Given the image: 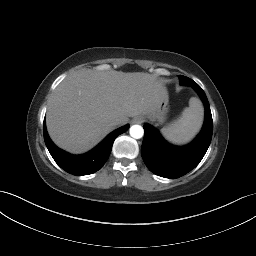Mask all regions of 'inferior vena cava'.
<instances>
[{
    "label": "inferior vena cava",
    "mask_w": 256,
    "mask_h": 256,
    "mask_svg": "<svg viewBox=\"0 0 256 256\" xmlns=\"http://www.w3.org/2000/svg\"><path fill=\"white\" fill-rule=\"evenodd\" d=\"M121 124V121L120 120H118V119H116V120H114L112 123H111V125L112 126H118V125H120Z\"/></svg>",
    "instance_id": "obj_1"
}]
</instances>
